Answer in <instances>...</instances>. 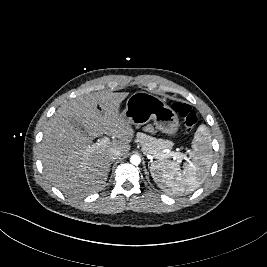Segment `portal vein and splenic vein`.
Masks as SVG:
<instances>
[{"instance_id": "portal-vein-and-splenic-vein-1", "label": "portal vein and splenic vein", "mask_w": 267, "mask_h": 267, "mask_svg": "<svg viewBox=\"0 0 267 267\" xmlns=\"http://www.w3.org/2000/svg\"><path fill=\"white\" fill-rule=\"evenodd\" d=\"M110 142V139L108 137H104L102 138V140H99L98 142H96L95 144H92L90 146H88V150L92 149V148H96L100 145H106ZM148 158H152V156L147 155ZM162 158H168V157H173L174 159H177L178 161L185 159L188 160V158L186 157L185 154L180 153V152H175V151H167L165 155H161Z\"/></svg>"}]
</instances>
